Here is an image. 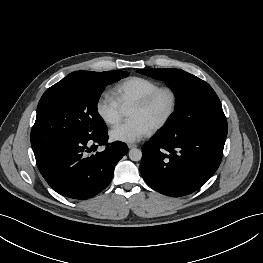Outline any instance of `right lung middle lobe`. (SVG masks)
Returning a JSON list of instances; mask_svg holds the SVG:
<instances>
[{
    "instance_id": "obj_1",
    "label": "right lung middle lobe",
    "mask_w": 263,
    "mask_h": 263,
    "mask_svg": "<svg viewBox=\"0 0 263 263\" xmlns=\"http://www.w3.org/2000/svg\"><path fill=\"white\" fill-rule=\"evenodd\" d=\"M129 75L125 71L68 75L42 95L31 131V145L37 151L56 141L87 137L106 129L97 112L101 93L108 84Z\"/></svg>"
}]
</instances>
